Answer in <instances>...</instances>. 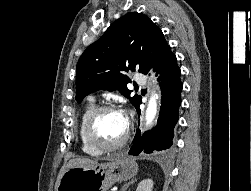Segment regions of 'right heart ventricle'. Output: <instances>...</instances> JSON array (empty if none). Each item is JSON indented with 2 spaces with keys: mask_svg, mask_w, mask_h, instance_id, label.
I'll return each mask as SVG.
<instances>
[{
  "mask_svg": "<svg viewBox=\"0 0 251 191\" xmlns=\"http://www.w3.org/2000/svg\"><path fill=\"white\" fill-rule=\"evenodd\" d=\"M95 107H96L95 100L93 99L87 100L80 114L79 122H78V129H77V144H78L79 151L81 152V154L87 157H92V158L99 157L103 153L101 151L95 150L92 147H90L86 143L85 137H84L85 122Z\"/></svg>",
  "mask_w": 251,
  "mask_h": 191,
  "instance_id": "e07e8e85",
  "label": "right heart ventricle"
}]
</instances>
